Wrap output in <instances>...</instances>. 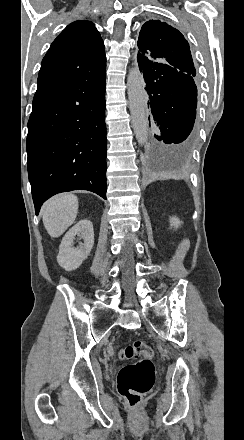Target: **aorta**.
<instances>
[{"mask_svg": "<svg viewBox=\"0 0 244 440\" xmlns=\"http://www.w3.org/2000/svg\"><path fill=\"white\" fill-rule=\"evenodd\" d=\"M128 101L132 127L137 141L145 144L148 134L147 95L143 78L137 68H132L127 77Z\"/></svg>", "mask_w": 244, "mask_h": 440, "instance_id": "obj_1", "label": "aorta"}]
</instances>
